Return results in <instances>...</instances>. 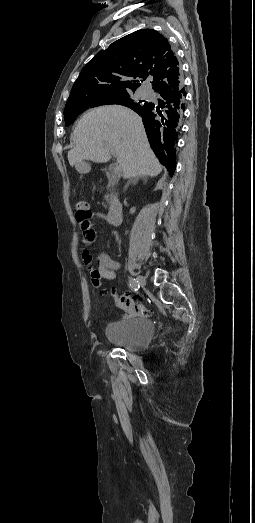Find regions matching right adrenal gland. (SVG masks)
<instances>
[{"instance_id": "1", "label": "right adrenal gland", "mask_w": 255, "mask_h": 523, "mask_svg": "<svg viewBox=\"0 0 255 523\" xmlns=\"http://www.w3.org/2000/svg\"><path fill=\"white\" fill-rule=\"evenodd\" d=\"M139 178H143V180H147V176H137V178H133V180H129V182H127L124 190H127V188H129V184H137V180H139Z\"/></svg>"}]
</instances>
